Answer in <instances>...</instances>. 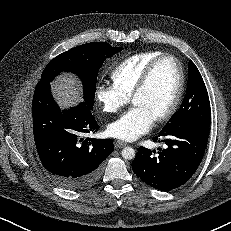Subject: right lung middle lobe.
Instances as JSON below:
<instances>
[{"label": "right lung middle lobe", "mask_w": 231, "mask_h": 231, "mask_svg": "<svg viewBox=\"0 0 231 231\" xmlns=\"http://www.w3.org/2000/svg\"><path fill=\"white\" fill-rule=\"evenodd\" d=\"M106 42H92L74 47L54 59L45 67L41 80L51 82L61 72L76 74L83 83L84 102L93 108L98 71L104 61L121 51Z\"/></svg>", "instance_id": "right-lung-middle-lobe-1"}]
</instances>
